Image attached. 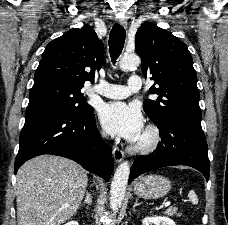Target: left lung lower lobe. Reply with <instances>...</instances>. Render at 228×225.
I'll return each mask as SVG.
<instances>
[{
    "instance_id": "left-lung-lower-lobe-1",
    "label": "left lung lower lobe",
    "mask_w": 228,
    "mask_h": 225,
    "mask_svg": "<svg viewBox=\"0 0 228 225\" xmlns=\"http://www.w3.org/2000/svg\"><path fill=\"white\" fill-rule=\"evenodd\" d=\"M161 142L147 156H138L130 171L129 183L145 172L174 165H186L199 170L208 181V148L201 120L172 117L158 126Z\"/></svg>"
}]
</instances>
